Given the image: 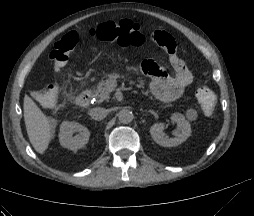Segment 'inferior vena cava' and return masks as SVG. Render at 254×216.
I'll return each instance as SVG.
<instances>
[{
    "mask_svg": "<svg viewBox=\"0 0 254 216\" xmlns=\"http://www.w3.org/2000/svg\"><path fill=\"white\" fill-rule=\"evenodd\" d=\"M89 114L92 119L99 121L104 119L107 116L108 111L105 108L96 107L91 109Z\"/></svg>",
    "mask_w": 254,
    "mask_h": 216,
    "instance_id": "inferior-vena-cava-1",
    "label": "inferior vena cava"
}]
</instances>
